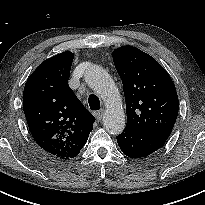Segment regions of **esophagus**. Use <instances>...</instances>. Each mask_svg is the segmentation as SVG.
<instances>
[{"instance_id": "esophagus-1", "label": "esophagus", "mask_w": 205, "mask_h": 205, "mask_svg": "<svg viewBox=\"0 0 205 205\" xmlns=\"http://www.w3.org/2000/svg\"><path fill=\"white\" fill-rule=\"evenodd\" d=\"M103 115H104V109L98 110V111L96 112V118H97V120L100 121V120L102 119Z\"/></svg>"}]
</instances>
